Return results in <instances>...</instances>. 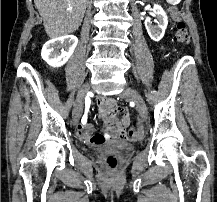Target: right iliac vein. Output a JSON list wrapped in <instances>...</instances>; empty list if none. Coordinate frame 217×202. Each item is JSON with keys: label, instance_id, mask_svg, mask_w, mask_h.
I'll use <instances>...</instances> for the list:
<instances>
[{"label": "right iliac vein", "instance_id": "63e3f726", "mask_svg": "<svg viewBox=\"0 0 217 202\" xmlns=\"http://www.w3.org/2000/svg\"><path fill=\"white\" fill-rule=\"evenodd\" d=\"M89 90H90L89 85L84 84L77 94L73 112H72V119L74 124H77L78 120L81 117L83 105H84V99L86 94L89 92Z\"/></svg>", "mask_w": 217, "mask_h": 202}]
</instances>
